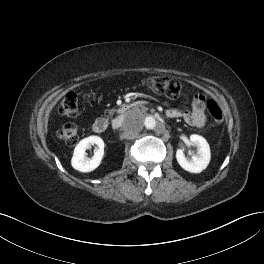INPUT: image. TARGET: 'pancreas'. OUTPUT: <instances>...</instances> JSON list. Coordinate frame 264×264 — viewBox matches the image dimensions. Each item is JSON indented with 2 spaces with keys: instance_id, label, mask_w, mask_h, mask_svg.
<instances>
[{
  "instance_id": "pancreas-1",
  "label": "pancreas",
  "mask_w": 264,
  "mask_h": 264,
  "mask_svg": "<svg viewBox=\"0 0 264 264\" xmlns=\"http://www.w3.org/2000/svg\"><path fill=\"white\" fill-rule=\"evenodd\" d=\"M115 112V109H111V110H109V114L111 115V114H113ZM117 112H122V110H117Z\"/></svg>"
}]
</instances>
